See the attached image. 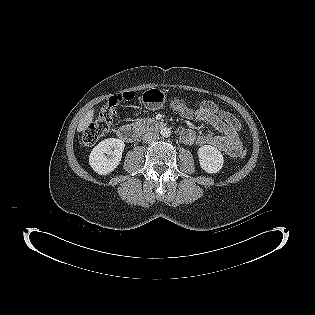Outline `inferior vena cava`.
Listing matches in <instances>:
<instances>
[{"mask_svg": "<svg viewBox=\"0 0 315 315\" xmlns=\"http://www.w3.org/2000/svg\"><path fill=\"white\" fill-rule=\"evenodd\" d=\"M158 138H159L158 133H156V132H148V133H145L143 135V142L144 143H151V142L156 141Z\"/></svg>", "mask_w": 315, "mask_h": 315, "instance_id": "inferior-vena-cava-1", "label": "inferior vena cava"}]
</instances>
